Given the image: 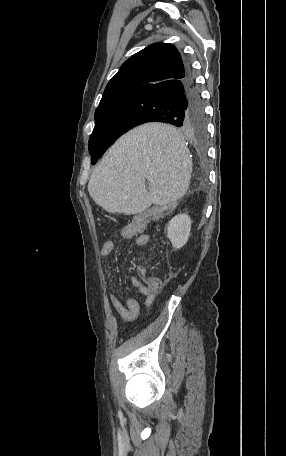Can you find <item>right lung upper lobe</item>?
<instances>
[{
	"mask_svg": "<svg viewBox=\"0 0 286 456\" xmlns=\"http://www.w3.org/2000/svg\"><path fill=\"white\" fill-rule=\"evenodd\" d=\"M185 67L175 46L167 43L152 44L122 64L107 84L99 107L156 84L180 78L185 74Z\"/></svg>",
	"mask_w": 286,
	"mask_h": 456,
	"instance_id": "right-lung-upper-lobe-1",
	"label": "right lung upper lobe"
}]
</instances>
